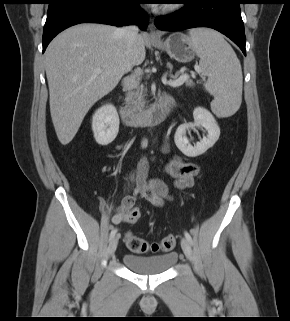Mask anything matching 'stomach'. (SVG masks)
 <instances>
[{
    "instance_id": "0dacf381",
    "label": "stomach",
    "mask_w": 290,
    "mask_h": 321,
    "mask_svg": "<svg viewBox=\"0 0 290 321\" xmlns=\"http://www.w3.org/2000/svg\"><path fill=\"white\" fill-rule=\"evenodd\" d=\"M151 44L166 53L180 63H188L195 57L196 50L188 37L181 33L171 34L165 41H151Z\"/></svg>"
}]
</instances>
